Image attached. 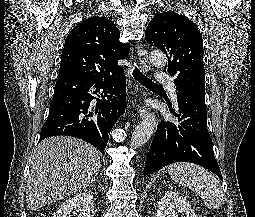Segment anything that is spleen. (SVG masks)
Instances as JSON below:
<instances>
[{"mask_svg": "<svg viewBox=\"0 0 255 217\" xmlns=\"http://www.w3.org/2000/svg\"><path fill=\"white\" fill-rule=\"evenodd\" d=\"M173 180L200 195L209 209L222 206L223 191L217 178L204 168L191 163H174L168 166Z\"/></svg>", "mask_w": 255, "mask_h": 217, "instance_id": "obj_1", "label": "spleen"}]
</instances>
